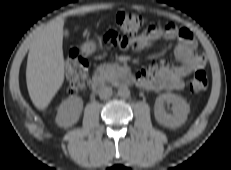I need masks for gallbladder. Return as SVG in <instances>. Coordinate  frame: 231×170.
Returning <instances> with one entry per match:
<instances>
[{
    "label": "gallbladder",
    "instance_id": "gallbladder-1",
    "mask_svg": "<svg viewBox=\"0 0 231 170\" xmlns=\"http://www.w3.org/2000/svg\"><path fill=\"white\" fill-rule=\"evenodd\" d=\"M63 35H64L65 38H68L69 37V31L65 30L64 33H63Z\"/></svg>",
    "mask_w": 231,
    "mask_h": 170
}]
</instances>
